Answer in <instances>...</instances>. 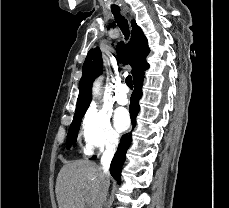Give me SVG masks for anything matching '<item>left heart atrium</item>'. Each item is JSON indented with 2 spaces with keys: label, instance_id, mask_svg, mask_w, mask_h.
Here are the masks:
<instances>
[{
  "label": "left heart atrium",
  "instance_id": "obj_1",
  "mask_svg": "<svg viewBox=\"0 0 229 208\" xmlns=\"http://www.w3.org/2000/svg\"><path fill=\"white\" fill-rule=\"evenodd\" d=\"M130 120L125 110H120L115 115V125L119 131H124L129 127Z\"/></svg>",
  "mask_w": 229,
  "mask_h": 208
}]
</instances>
